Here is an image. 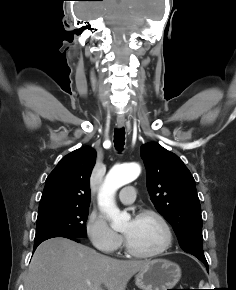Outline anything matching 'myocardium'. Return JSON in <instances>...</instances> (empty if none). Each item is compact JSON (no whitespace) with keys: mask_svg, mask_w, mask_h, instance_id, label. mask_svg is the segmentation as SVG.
<instances>
[{"mask_svg":"<svg viewBox=\"0 0 236 290\" xmlns=\"http://www.w3.org/2000/svg\"><path fill=\"white\" fill-rule=\"evenodd\" d=\"M139 217H153V218H155L159 222V224L161 225V227L164 231L165 240H164L163 244L158 249L151 251V252H142V251H138V250L134 249L130 245V243L128 242L127 238L125 237L126 251L131 256L136 257V258H142V259H151V258H155V257L162 255L164 252H166L171 247L172 241H173V233H172V229H171L168 221L160 212H158L154 209H143V210L139 211L136 218H139Z\"/></svg>","mask_w":236,"mask_h":290,"instance_id":"obj_1","label":"myocardium"}]
</instances>
